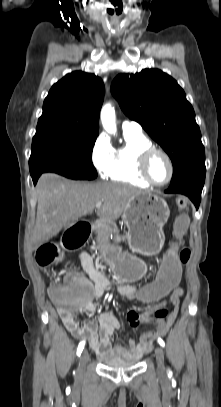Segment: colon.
<instances>
[{
	"mask_svg": "<svg viewBox=\"0 0 221 407\" xmlns=\"http://www.w3.org/2000/svg\"><path fill=\"white\" fill-rule=\"evenodd\" d=\"M176 204L179 210H185L188 206L187 198L178 197ZM187 226L186 216L179 215L174 224L175 242L159 261L157 277H151L149 283H141L138 286L140 291L136 297L145 305L155 306L158 300L166 297L165 292H176V286L181 285L182 263H186L190 258L189 249H180ZM93 229V222L86 217L72 222L62 236V249H81L86 245V239H91ZM61 256V250L57 245L47 243L38 249L36 260L40 266L46 267L58 261ZM49 295L60 312L73 313L84 304L85 286L75 275L70 274L65 284H53L49 288ZM166 313L161 307L153 311L156 318L163 317ZM147 318L149 319L148 315Z\"/></svg>",
	"mask_w": 221,
	"mask_h": 407,
	"instance_id": "obj_1",
	"label": "colon"
}]
</instances>
